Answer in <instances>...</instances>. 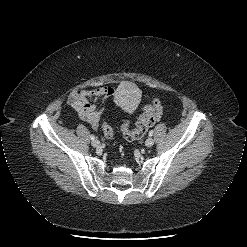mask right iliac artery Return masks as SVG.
<instances>
[{"label": "right iliac artery", "instance_id": "obj_1", "mask_svg": "<svg viewBox=\"0 0 247 247\" xmlns=\"http://www.w3.org/2000/svg\"><path fill=\"white\" fill-rule=\"evenodd\" d=\"M90 138H91V140H95V136L94 135H91Z\"/></svg>", "mask_w": 247, "mask_h": 247}]
</instances>
